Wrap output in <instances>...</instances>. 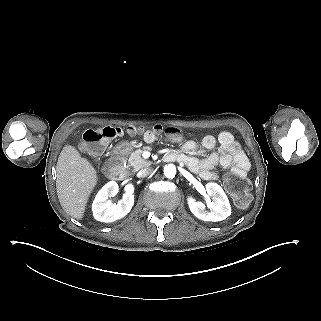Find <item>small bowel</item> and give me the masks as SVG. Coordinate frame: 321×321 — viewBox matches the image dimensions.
Wrapping results in <instances>:
<instances>
[{
  "label": "small bowel",
  "instance_id": "1",
  "mask_svg": "<svg viewBox=\"0 0 321 321\" xmlns=\"http://www.w3.org/2000/svg\"><path fill=\"white\" fill-rule=\"evenodd\" d=\"M155 138L153 132L147 131L144 134V139L147 142H153ZM173 141L178 142L180 138H173ZM201 147L207 150L217 147V152L203 159L186 154L178 155L180 156V162L204 180L216 179L217 175L213 172L216 166L230 168L233 173H246L250 168L248 157L230 132H221L217 138L207 135L202 139L200 144L194 140H187L182 145V149L185 152L193 154L198 153Z\"/></svg>",
  "mask_w": 321,
  "mask_h": 321
}]
</instances>
